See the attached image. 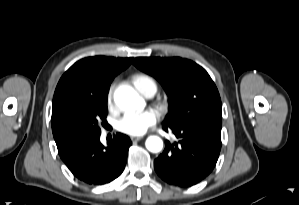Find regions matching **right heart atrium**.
<instances>
[{
	"mask_svg": "<svg viewBox=\"0 0 299 205\" xmlns=\"http://www.w3.org/2000/svg\"><path fill=\"white\" fill-rule=\"evenodd\" d=\"M113 91H114V87L111 86L108 89L107 95H106V103L108 107H112L113 104Z\"/></svg>",
	"mask_w": 299,
	"mask_h": 205,
	"instance_id": "obj_1",
	"label": "right heart atrium"
}]
</instances>
